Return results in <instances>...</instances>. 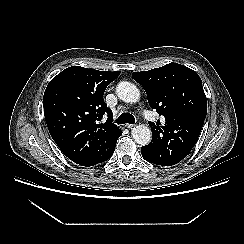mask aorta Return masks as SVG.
I'll return each mask as SVG.
<instances>
[{"mask_svg":"<svg viewBox=\"0 0 244 244\" xmlns=\"http://www.w3.org/2000/svg\"><path fill=\"white\" fill-rule=\"evenodd\" d=\"M117 96L124 102L136 103L140 99V91L136 85L130 82L122 81L116 88ZM132 137L134 141L145 146L150 143L152 138L151 130L146 125H136L132 129Z\"/></svg>","mask_w":244,"mask_h":244,"instance_id":"obj_1","label":"aorta"}]
</instances>
